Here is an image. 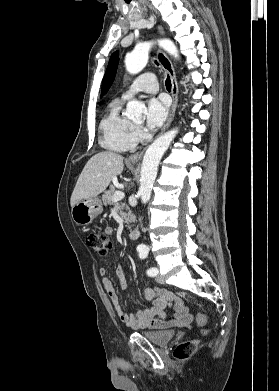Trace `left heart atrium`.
Here are the masks:
<instances>
[{
  "mask_svg": "<svg viewBox=\"0 0 279 391\" xmlns=\"http://www.w3.org/2000/svg\"><path fill=\"white\" fill-rule=\"evenodd\" d=\"M168 102L164 97H152L147 101L145 122L148 129L159 127L166 119Z\"/></svg>",
  "mask_w": 279,
  "mask_h": 391,
  "instance_id": "39dd6f15",
  "label": "left heart atrium"
}]
</instances>
